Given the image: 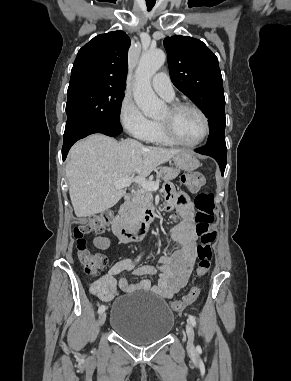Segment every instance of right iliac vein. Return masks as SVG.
<instances>
[{"mask_svg": "<svg viewBox=\"0 0 291 381\" xmlns=\"http://www.w3.org/2000/svg\"><path fill=\"white\" fill-rule=\"evenodd\" d=\"M106 321V312H102L100 315H99V318H98V323L100 326L104 325Z\"/></svg>", "mask_w": 291, "mask_h": 381, "instance_id": "63e3f726", "label": "right iliac vein"}]
</instances>
